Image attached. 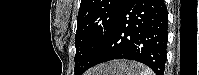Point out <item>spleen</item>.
I'll return each instance as SVG.
<instances>
[{
    "instance_id": "3e777b00",
    "label": "spleen",
    "mask_w": 199,
    "mask_h": 75,
    "mask_svg": "<svg viewBox=\"0 0 199 75\" xmlns=\"http://www.w3.org/2000/svg\"><path fill=\"white\" fill-rule=\"evenodd\" d=\"M142 71H141V75H154L153 71L150 70L149 68H145L143 66H141Z\"/></svg>"
}]
</instances>
